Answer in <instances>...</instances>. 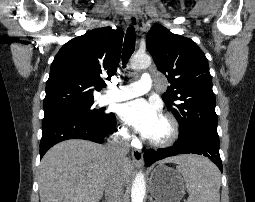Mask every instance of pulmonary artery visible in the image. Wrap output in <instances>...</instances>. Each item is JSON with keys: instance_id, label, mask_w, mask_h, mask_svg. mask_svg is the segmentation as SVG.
<instances>
[{"instance_id": "pulmonary-artery-1", "label": "pulmonary artery", "mask_w": 255, "mask_h": 202, "mask_svg": "<svg viewBox=\"0 0 255 202\" xmlns=\"http://www.w3.org/2000/svg\"><path fill=\"white\" fill-rule=\"evenodd\" d=\"M152 87V77L149 73H144L140 80L127 85H121L102 97L101 103L106 105L113 102L125 101L140 96Z\"/></svg>"}]
</instances>
